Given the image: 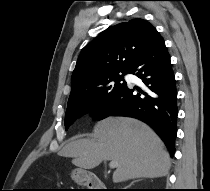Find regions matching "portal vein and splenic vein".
I'll use <instances>...</instances> for the list:
<instances>
[{"label":"portal vein and splenic vein","instance_id":"18ae733b","mask_svg":"<svg viewBox=\"0 0 210 191\" xmlns=\"http://www.w3.org/2000/svg\"><path fill=\"white\" fill-rule=\"evenodd\" d=\"M117 166H118V162L117 161H114V160L110 161L109 167L111 169L117 168Z\"/></svg>","mask_w":210,"mask_h":191}]
</instances>
